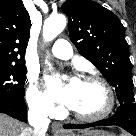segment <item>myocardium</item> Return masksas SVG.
Returning a JSON list of instances; mask_svg holds the SVG:
<instances>
[{
    "label": "myocardium",
    "mask_w": 136,
    "mask_h": 136,
    "mask_svg": "<svg viewBox=\"0 0 136 136\" xmlns=\"http://www.w3.org/2000/svg\"><path fill=\"white\" fill-rule=\"evenodd\" d=\"M83 81L98 83L104 89L106 93L107 102H106L104 109L97 114L83 115L74 110H72V114L77 119L84 121V122H96V121L105 119L107 116L111 114L115 106V95H114L111 85L103 77L99 75H93V74L85 76L83 78Z\"/></svg>",
    "instance_id": "1"
}]
</instances>
